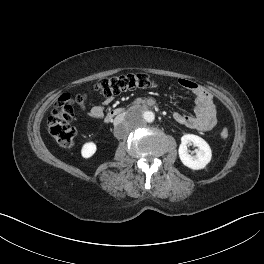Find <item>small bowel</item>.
<instances>
[{"instance_id": "1", "label": "small bowel", "mask_w": 264, "mask_h": 264, "mask_svg": "<svg viewBox=\"0 0 264 264\" xmlns=\"http://www.w3.org/2000/svg\"><path fill=\"white\" fill-rule=\"evenodd\" d=\"M178 84L193 93L196 103L193 116L175 112L173 119L190 129L201 132L210 131L216 124V106L211 94L202 86L189 79H179ZM112 100L113 97H106L101 104L95 105L88 110V116L92 119L103 118L105 108Z\"/></svg>"}]
</instances>
